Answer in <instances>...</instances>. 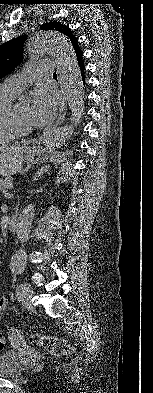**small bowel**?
<instances>
[{
	"label": "small bowel",
	"instance_id": "small-bowel-1",
	"mask_svg": "<svg viewBox=\"0 0 153 393\" xmlns=\"http://www.w3.org/2000/svg\"><path fill=\"white\" fill-rule=\"evenodd\" d=\"M0 303H1V306H0V319H1L5 309L8 306L9 299L7 297H2L0 299Z\"/></svg>",
	"mask_w": 153,
	"mask_h": 393
}]
</instances>
